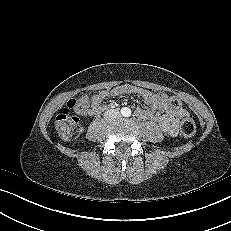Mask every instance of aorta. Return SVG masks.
<instances>
[{
  "label": "aorta",
  "mask_w": 231,
  "mask_h": 231,
  "mask_svg": "<svg viewBox=\"0 0 231 231\" xmlns=\"http://www.w3.org/2000/svg\"><path fill=\"white\" fill-rule=\"evenodd\" d=\"M123 115L124 116H129L130 115V109L129 108H124L123 109Z\"/></svg>",
  "instance_id": "1"
}]
</instances>
